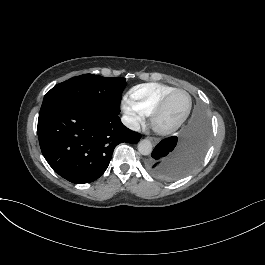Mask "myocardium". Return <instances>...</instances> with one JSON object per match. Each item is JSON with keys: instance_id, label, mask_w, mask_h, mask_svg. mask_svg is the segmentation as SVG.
I'll use <instances>...</instances> for the list:
<instances>
[{"instance_id": "myocardium-1", "label": "myocardium", "mask_w": 265, "mask_h": 265, "mask_svg": "<svg viewBox=\"0 0 265 265\" xmlns=\"http://www.w3.org/2000/svg\"><path fill=\"white\" fill-rule=\"evenodd\" d=\"M184 92H185V90H183V89L175 88L173 91H171L166 96H164L160 100V102L158 103V105H157V107L153 113L152 124H153L154 129L159 134L166 135V134H169V133L177 130L188 119L190 111H191V107H192L191 100H188L186 110H185L184 114L178 120H176L175 122H172V123H164L162 121L164 109H165L168 101L170 100V98L177 93H184Z\"/></svg>"}]
</instances>
